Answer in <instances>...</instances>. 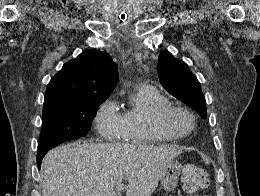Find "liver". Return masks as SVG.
I'll list each match as a JSON object with an SVG mask.
<instances>
[{
    "mask_svg": "<svg viewBox=\"0 0 260 196\" xmlns=\"http://www.w3.org/2000/svg\"><path fill=\"white\" fill-rule=\"evenodd\" d=\"M180 146L75 142L47 152L41 166L42 196H116L128 180L127 196H151Z\"/></svg>",
    "mask_w": 260,
    "mask_h": 196,
    "instance_id": "obj_1",
    "label": "liver"
}]
</instances>
